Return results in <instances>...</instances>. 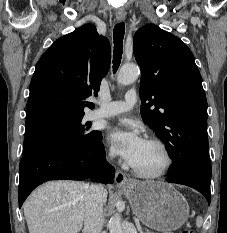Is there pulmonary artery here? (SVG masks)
Instances as JSON below:
<instances>
[{"label":"pulmonary artery","instance_id":"pulmonary-artery-1","mask_svg":"<svg viewBox=\"0 0 227 233\" xmlns=\"http://www.w3.org/2000/svg\"><path fill=\"white\" fill-rule=\"evenodd\" d=\"M137 101V93L135 90L131 89L125 94L124 100L101 104L100 108L95 111L94 117L109 118L122 113H127L132 110Z\"/></svg>","mask_w":227,"mask_h":233}]
</instances>
